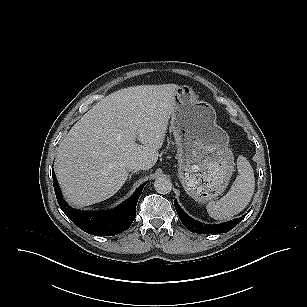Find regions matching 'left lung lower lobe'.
Segmentation results:
<instances>
[{
    "label": "left lung lower lobe",
    "mask_w": 307,
    "mask_h": 307,
    "mask_svg": "<svg viewBox=\"0 0 307 307\" xmlns=\"http://www.w3.org/2000/svg\"><path fill=\"white\" fill-rule=\"evenodd\" d=\"M174 205L177 211V214L183 223V225L190 230L191 232L198 233V234H221V233H226L233 229L244 217H239L236 219H233L228 222H224L221 224H214V225H209V224H203L201 222H198L188 216L179 206L177 200L174 201ZM249 212V211H248Z\"/></svg>",
    "instance_id": "obj_1"
}]
</instances>
